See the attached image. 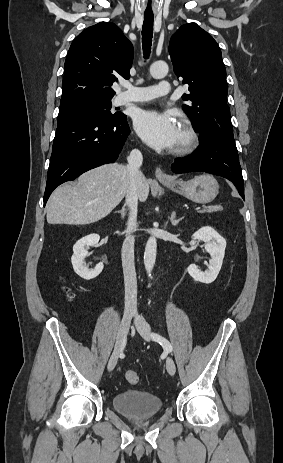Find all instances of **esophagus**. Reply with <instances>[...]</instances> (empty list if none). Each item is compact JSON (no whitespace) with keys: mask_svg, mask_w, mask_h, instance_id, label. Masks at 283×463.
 I'll use <instances>...</instances> for the list:
<instances>
[{"mask_svg":"<svg viewBox=\"0 0 283 463\" xmlns=\"http://www.w3.org/2000/svg\"><path fill=\"white\" fill-rule=\"evenodd\" d=\"M155 176L161 182H170V181H172V177L167 175L166 173H164L163 170L161 168H159V167H157L156 170H155Z\"/></svg>","mask_w":283,"mask_h":463,"instance_id":"1","label":"esophagus"}]
</instances>
